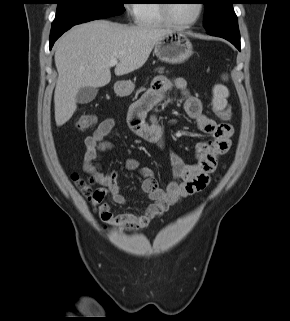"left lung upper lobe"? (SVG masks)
Returning a JSON list of instances; mask_svg holds the SVG:
<instances>
[{
	"instance_id": "5c2ea615",
	"label": "left lung upper lobe",
	"mask_w": 290,
	"mask_h": 321,
	"mask_svg": "<svg viewBox=\"0 0 290 321\" xmlns=\"http://www.w3.org/2000/svg\"><path fill=\"white\" fill-rule=\"evenodd\" d=\"M205 5L204 27L207 31L224 27L234 21L237 16L232 4L235 0H202Z\"/></svg>"
}]
</instances>
